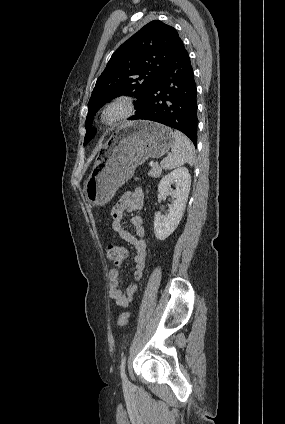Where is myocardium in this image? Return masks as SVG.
<instances>
[{
    "instance_id": "obj_1",
    "label": "myocardium",
    "mask_w": 285,
    "mask_h": 424,
    "mask_svg": "<svg viewBox=\"0 0 285 424\" xmlns=\"http://www.w3.org/2000/svg\"><path fill=\"white\" fill-rule=\"evenodd\" d=\"M135 113L134 100L121 96L110 100L101 108L98 122L102 128L111 129L130 119Z\"/></svg>"
}]
</instances>
